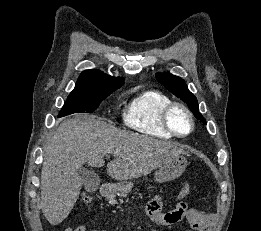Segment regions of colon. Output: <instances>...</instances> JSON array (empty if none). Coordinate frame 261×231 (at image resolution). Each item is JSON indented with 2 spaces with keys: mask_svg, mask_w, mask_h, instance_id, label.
Returning a JSON list of instances; mask_svg holds the SVG:
<instances>
[{
  "mask_svg": "<svg viewBox=\"0 0 261 231\" xmlns=\"http://www.w3.org/2000/svg\"><path fill=\"white\" fill-rule=\"evenodd\" d=\"M189 192V186L185 185L181 193L187 194ZM91 201V198L89 196L83 197V202L89 203ZM211 216L212 214L209 212H205L202 210H193L189 223L191 225V228L194 231H205L211 224Z\"/></svg>",
  "mask_w": 261,
  "mask_h": 231,
  "instance_id": "1",
  "label": "colon"
}]
</instances>
